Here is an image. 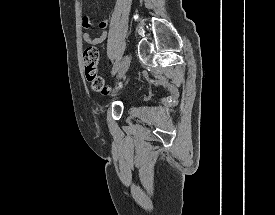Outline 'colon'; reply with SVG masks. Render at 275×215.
Returning <instances> with one entry per match:
<instances>
[{"label": "colon", "instance_id": "5ec220e1", "mask_svg": "<svg viewBox=\"0 0 275 215\" xmlns=\"http://www.w3.org/2000/svg\"><path fill=\"white\" fill-rule=\"evenodd\" d=\"M99 52L93 47H87L82 54V63L86 79L90 82L92 90L104 95L110 94L116 88L109 87L98 75Z\"/></svg>", "mask_w": 275, "mask_h": 215}]
</instances>
